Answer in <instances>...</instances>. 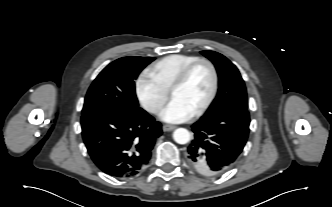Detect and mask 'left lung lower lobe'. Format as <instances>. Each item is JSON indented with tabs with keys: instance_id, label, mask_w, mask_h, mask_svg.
<instances>
[{
	"instance_id": "left-lung-lower-lobe-1",
	"label": "left lung lower lobe",
	"mask_w": 332,
	"mask_h": 207,
	"mask_svg": "<svg viewBox=\"0 0 332 207\" xmlns=\"http://www.w3.org/2000/svg\"><path fill=\"white\" fill-rule=\"evenodd\" d=\"M247 109L231 108L193 124L194 139L188 146V163L204 176H219L241 154L249 134Z\"/></svg>"
}]
</instances>
